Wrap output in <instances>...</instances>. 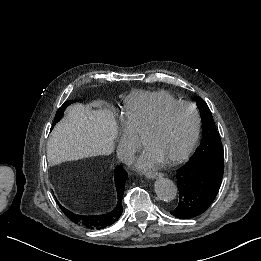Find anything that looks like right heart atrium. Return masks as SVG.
<instances>
[{
  "label": "right heart atrium",
  "mask_w": 261,
  "mask_h": 261,
  "mask_svg": "<svg viewBox=\"0 0 261 261\" xmlns=\"http://www.w3.org/2000/svg\"><path fill=\"white\" fill-rule=\"evenodd\" d=\"M120 115H121L124 125H125V137H124V140H123L121 146L125 145L126 148H129L131 146V144L129 143V139L131 136L132 125H131L130 121L122 115L121 112H120ZM125 159L127 160V157Z\"/></svg>",
  "instance_id": "right-heart-atrium-1"
}]
</instances>
